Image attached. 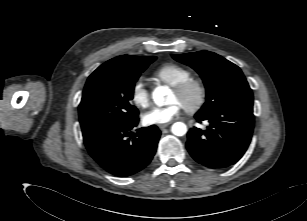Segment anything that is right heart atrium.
Masks as SVG:
<instances>
[{
	"instance_id": "d8ad5b80",
	"label": "right heart atrium",
	"mask_w": 307,
	"mask_h": 221,
	"mask_svg": "<svg viewBox=\"0 0 307 221\" xmlns=\"http://www.w3.org/2000/svg\"><path fill=\"white\" fill-rule=\"evenodd\" d=\"M131 101L139 108H146L150 104V92L141 80H137L131 87Z\"/></svg>"
}]
</instances>
